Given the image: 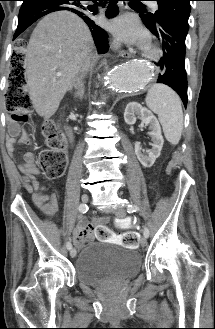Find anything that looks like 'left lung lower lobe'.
<instances>
[{"mask_svg": "<svg viewBox=\"0 0 215 329\" xmlns=\"http://www.w3.org/2000/svg\"><path fill=\"white\" fill-rule=\"evenodd\" d=\"M140 17L142 18L141 14ZM146 27L161 41L163 50V56L158 62L161 73L157 83L166 84L174 89L186 107L188 99L185 70V40L187 32L170 21H161L156 27Z\"/></svg>", "mask_w": 215, "mask_h": 329, "instance_id": "1", "label": "left lung lower lobe"}]
</instances>
